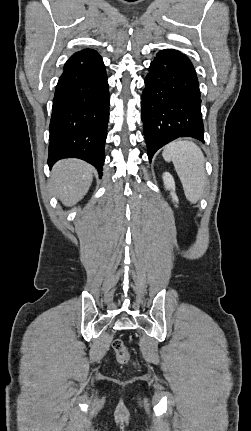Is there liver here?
<instances>
[{
    "label": "liver",
    "mask_w": 251,
    "mask_h": 431,
    "mask_svg": "<svg viewBox=\"0 0 251 431\" xmlns=\"http://www.w3.org/2000/svg\"><path fill=\"white\" fill-rule=\"evenodd\" d=\"M94 168L79 159L57 162L51 173V186L55 195L67 207L78 203L88 192Z\"/></svg>",
    "instance_id": "liver-1"
}]
</instances>
